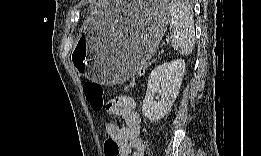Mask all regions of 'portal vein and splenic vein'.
I'll return each instance as SVG.
<instances>
[{
	"label": "portal vein and splenic vein",
	"instance_id": "1",
	"mask_svg": "<svg viewBox=\"0 0 261 156\" xmlns=\"http://www.w3.org/2000/svg\"><path fill=\"white\" fill-rule=\"evenodd\" d=\"M166 42H167V43H170V40H169V39H167V40H166Z\"/></svg>",
	"mask_w": 261,
	"mask_h": 156
}]
</instances>
